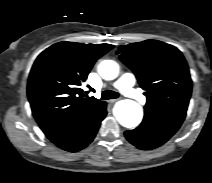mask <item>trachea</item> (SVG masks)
Wrapping results in <instances>:
<instances>
[{"instance_id":"trachea-1","label":"trachea","mask_w":212,"mask_h":183,"mask_svg":"<svg viewBox=\"0 0 212 183\" xmlns=\"http://www.w3.org/2000/svg\"><path fill=\"white\" fill-rule=\"evenodd\" d=\"M119 97V94L117 92L111 91V90H105L101 94L102 100H108V99H116Z\"/></svg>"}]
</instances>
